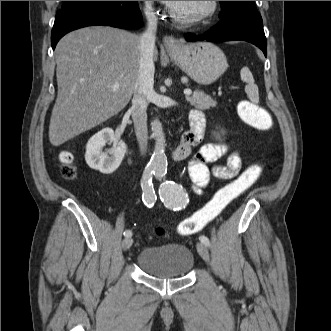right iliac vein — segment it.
I'll return each instance as SVG.
<instances>
[{
  "label": "right iliac vein",
  "instance_id": "obj_1",
  "mask_svg": "<svg viewBox=\"0 0 331 331\" xmlns=\"http://www.w3.org/2000/svg\"><path fill=\"white\" fill-rule=\"evenodd\" d=\"M132 243H133L132 238L131 237H126L122 242V249L124 251L128 250L131 247Z\"/></svg>",
  "mask_w": 331,
  "mask_h": 331
}]
</instances>
